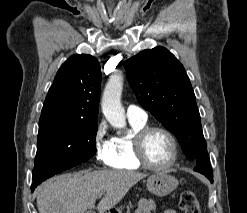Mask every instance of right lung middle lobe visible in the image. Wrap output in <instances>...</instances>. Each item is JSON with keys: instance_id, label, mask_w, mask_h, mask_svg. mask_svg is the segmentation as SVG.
Wrapping results in <instances>:
<instances>
[{"instance_id": "obj_1", "label": "right lung middle lobe", "mask_w": 247, "mask_h": 213, "mask_svg": "<svg viewBox=\"0 0 247 213\" xmlns=\"http://www.w3.org/2000/svg\"><path fill=\"white\" fill-rule=\"evenodd\" d=\"M97 123L78 121L39 122L38 149L33 183L89 160L96 153Z\"/></svg>"}]
</instances>
